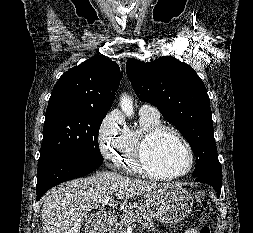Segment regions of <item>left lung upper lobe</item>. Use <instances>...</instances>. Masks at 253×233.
Masks as SVG:
<instances>
[{
    "label": "left lung upper lobe",
    "mask_w": 253,
    "mask_h": 233,
    "mask_svg": "<svg viewBox=\"0 0 253 233\" xmlns=\"http://www.w3.org/2000/svg\"><path fill=\"white\" fill-rule=\"evenodd\" d=\"M126 72L139 99L157 107L190 144L197 157L192 176L222 179L209 96L194 69L163 56L148 63L130 58Z\"/></svg>",
    "instance_id": "obj_1"
}]
</instances>
